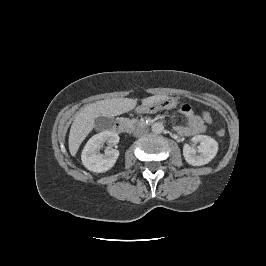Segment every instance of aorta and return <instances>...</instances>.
<instances>
[{
	"mask_svg": "<svg viewBox=\"0 0 266 266\" xmlns=\"http://www.w3.org/2000/svg\"><path fill=\"white\" fill-rule=\"evenodd\" d=\"M151 129H152V132H153V133H155V134H160V133L163 132V130H164V126H163L162 123H160V122H156V123H154V124L152 125Z\"/></svg>",
	"mask_w": 266,
	"mask_h": 266,
	"instance_id": "obj_1",
	"label": "aorta"
}]
</instances>
